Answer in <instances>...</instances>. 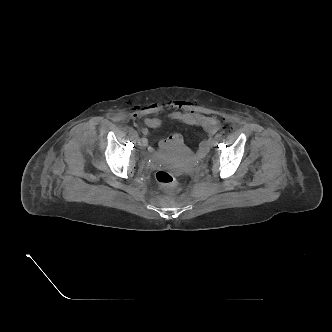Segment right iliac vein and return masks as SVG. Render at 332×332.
<instances>
[{"mask_svg":"<svg viewBox=\"0 0 332 332\" xmlns=\"http://www.w3.org/2000/svg\"><path fill=\"white\" fill-rule=\"evenodd\" d=\"M131 135L133 136V137H137V132L136 131H131Z\"/></svg>","mask_w":332,"mask_h":332,"instance_id":"obj_1","label":"right iliac vein"}]
</instances>
